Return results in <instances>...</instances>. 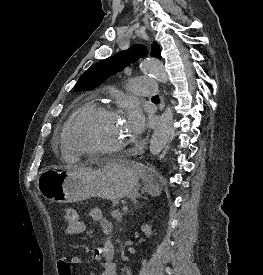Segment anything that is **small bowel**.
Segmentation results:
<instances>
[{"label": "small bowel", "instance_id": "c3829d8e", "mask_svg": "<svg viewBox=\"0 0 263 275\" xmlns=\"http://www.w3.org/2000/svg\"><path fill=\"white\" fill-rule=\"evenodd\" d=\"M89 218L91 221L96 222L101 228L103 234L106 236L105 242L95 248L92 251V259L94 261L102 262V273L100 275H118L117 266L113 261L114 258V246L110 240L112 234L113 226L112 224L104 217L102 210L99 208H93L89 211ZM86 230V224L82 220H77L73 223H69L65 228V233L67 235H77ZM71 263V275H73L72 266L75 264L81 263V260L78 256H70L66 259ZM59 270V267H58ZM90 275H98L96 272L91 271Z\"/></svg>", "mask_w": 263, "mask_h": 275}]
</instances>
